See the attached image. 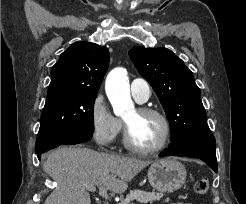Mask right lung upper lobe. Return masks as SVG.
I'll return each mask as SVG.
<instances>
[{
  "label": "right lung upper lobe",
  "mask_w": 246,
  "mask_h": 204,
  "mask_svg": "<svg viewBox=\"0 0 246 204\" xmlns=\"http://www.w3.org/2000/svg\"><path fill=\"white\" fill-rule=\"evenodd\" d=\"M109 58L105 46L89 42L72 44L51 69L46 101L68 95H97Z\"/></svg>",
  "instance_id": "right-lung-upper-lobe-1"
}]
</instances>
